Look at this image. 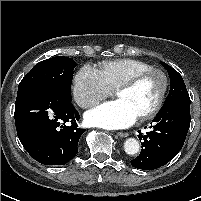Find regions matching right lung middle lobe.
Listing matches in <instances>:
<instances>
[{"label": "right lung middle lobe", "mask_w": 201, "mask_h": 201, "mask_svg": "<svg viewBox=\"0 0 201 201\" xmlns=\"http://www.w3.org/2000/svg\"><path fill=\"white\" fill-rule=\"evenodd\" d=\"M75 67L76 62L65 56L43 60L22 79L18 90L32 84H43L55 88L66 99L71 100V83Z\"/></svg>", "instance_id": "1"}]
</instances>
